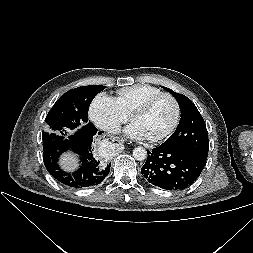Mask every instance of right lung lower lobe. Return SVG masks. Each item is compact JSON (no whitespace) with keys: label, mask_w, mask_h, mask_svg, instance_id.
Instances as JSON below:
<instances>
[{"label":"right lung lower lobe","mask_w":253,"mask_h":253,"mask_svg":"<svg viewBox=\"0 0 253 253\" xmlns=\"http://www.w3.org/2000/svg\"><path fill=\"white\" fill-rule=\"evenodd\" d=\"M102 132L94 125L79 130L71 139L43 142V159L48 172L60 183L73 188L100 184L110 172V164L96 151L95 141ZM71 150L80 156V166L73 173L63 171L58 165L60 155Z\"/></svg>","instance_id":"right-lung-lower-lobe-1"}]
</instances>
